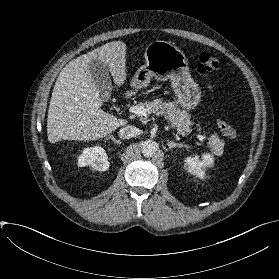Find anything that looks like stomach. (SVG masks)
Listing matches in <instances>:
<instances>
[{
  "instance_id": "0dacf381",
  "label": "stomach",
  "mask_w": 279,
  "mask_h": 279,
  "mask_svg": "<svg viewBox=\"0 0 279 279\" xmlns=\"http://www.w3.org/2000/svg\"><path fill=\"white\" fill-rule=\"evenodd\" d=\"M146 64L133 77L137 88L146 86L151 77L170 80L177 102L188 111L197 107L201 89L191 77L188 59L178 47L166 41L156 40L145 48Z\"/></svg>"
}]
</instances>
